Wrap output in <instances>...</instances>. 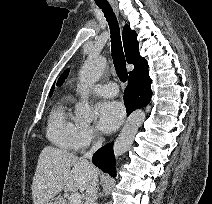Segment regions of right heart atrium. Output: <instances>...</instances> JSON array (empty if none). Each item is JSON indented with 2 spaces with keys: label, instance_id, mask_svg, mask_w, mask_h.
I'll return each mask as SVG.
<instances>
[{
  "label": "right heart atrium",
  "instance_id": "1",
  "mask_svg": "<svg viewBox=\"0 0 212 204\" xmlns=\"http://www.w3.org/2000/svg\"><path fill=\"white\" fill-rule=\"evenodd\" d=\"M97 139L98 135L93 128L81 126L76 138V149L84 150L93 144Z\"/></svg>",
  "mask_w": 212,
  "mask_h": 204
}]
</instances>
